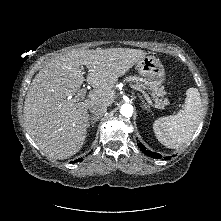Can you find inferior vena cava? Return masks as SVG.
<instances>
[{
	"label": "inferior vena cava",
	"instance_id": "1",
	"mask_svg": "<svg viewBox=\"0 0 221 221\" xmlns=\"http://www.w3.org/2000/svg\"><path fill=\"white\" fill-rule=\"evenodd\" d=\"M89 111L95 117H101L107 111V105L101 102L93 103L89 106Z\"/></svg>",
	"mask_w": 221,
	"mask_h": 221
}]
</instances>
